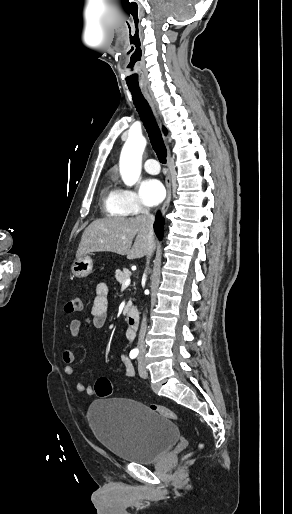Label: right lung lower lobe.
I'll use <instances>...</instances> for the list:
<instances>
[{
    "instance_id": "obj_1",
    "label": "right lung lower lobe",
    "mask_w": 292,
    "mask_h": 514,
    "mask_svg": "<svg viewBox=\"0 0 292 514\" xmlns=\"http://www.w3.org/2000/svg\"><path fill=\"white\" fill-rule=\"evenodd\" d=\"M154 230H155L157 237L161 240L163 237V233H164V219L162 218L160 212H158L156 214Z\"/></svg>"
}]
</instances>
